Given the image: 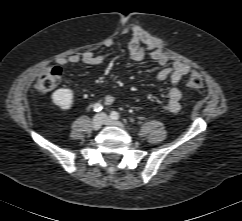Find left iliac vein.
<instances>
[{"label": "left iliac vein", "instance_id": "1", "mask_svg": "<svg viewBox=\"0 0 242 221\" xmlns=\"http://www.w3.org/2000/svg\"><path fill=\"white\" fill-rule=\"evenodd\" d=\"M100 116L102 117L103 123L105 125H111V126H117L120 128H124V125L121 122H117V121L110 119L106 114L102 113Z\"/></svg>", "mask_w": 242, "mask_h": 221}]
</instances>
